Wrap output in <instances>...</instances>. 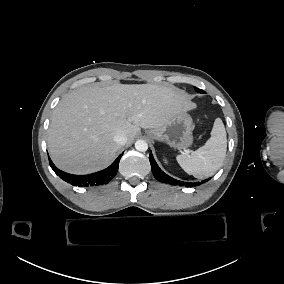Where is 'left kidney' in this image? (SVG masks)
Segmentation results:
<instances>
[{
    "mask_svg": "<svg viewBox=\"0 0 284 284\" xmlns=\"http://www.w3.org/2000/svg\"><path fill=\"white\" fill-rule=\"evenodd\" d=\"M164 162H165L166 164H168V160H167L166 158H164Z\"/></svg>",
    "mask_w": 284,
    "mask_h": 284,
    "instance_id": "5707ae66",
    "label": "left kidney"
}]
</instances>
